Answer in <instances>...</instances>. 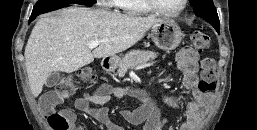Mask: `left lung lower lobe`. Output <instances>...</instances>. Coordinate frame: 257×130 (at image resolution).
Returning a JSON list of instances; mask_svg holds the SVG:
<instances>
[{"mask_svg":"<svg viewBox=\"0 0 257 130\" xmlns=\"http://www.w3.org/2000/svg\"><path fill=\"white\" fill-rule=\"evenodd\" d=\"M219 32V28H215Z\"/></svg>","mask_w":257,"mask_h":130,"instance_id":"0a47b994","label":"left lung lower lobe"}]
</instances>
